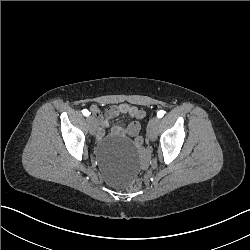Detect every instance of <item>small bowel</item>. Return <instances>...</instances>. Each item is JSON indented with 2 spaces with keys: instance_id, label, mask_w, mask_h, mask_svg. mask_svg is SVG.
<instances>
[{
  "instance_id": "1",
  "label": "small bowel",
  "mask_w": 250,
  "mask_h": 250,
  "mask_svg": "<svg viewBox=\"0 0 250 250\" xmlns=\"http://www.w3.org/2000/svg\"><path fill=\"white\" fill-rule=\"evenodd\" d=\"M138 108L133 105L121 104L110 107L104 114L96 107L92 108V113L98 120L99 128L97 131V138L101 139L104 136L105 128L108 126L109 120L115 118L119 114H128L133 120L126 126H114L111 129V134L115 136L136 137L140 132V123L135 119V113Z\"/></svg>"
}]
</instances>
